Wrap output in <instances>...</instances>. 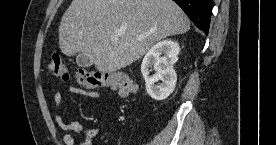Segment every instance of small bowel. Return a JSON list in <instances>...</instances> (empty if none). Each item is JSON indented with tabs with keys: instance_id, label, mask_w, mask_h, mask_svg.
Wrapping results in <instances>:
<instances>
[{
	"instance_id": "c3829d8e",
	"label": "small bowel",
	"mask_w": 276,
	"mask_h": 145,
	"mask_svg": "<svg viewBox=\"0 0 276 145\" xmlns=\"http://www.w3.org/2000/svg\"><path fill=\"white\" fill-rule=\"evenodd\" d=\"M69 92L78 94L84 97L101 99L102 95L97 91L85 90L77 87L70 86ZM63 101V95L61 92H55L53 95L54 109L53 116L56 125L64 132L63 142L66 145H75L73 134H78L84 131V142L82 145H93V140L100 135V129L92 127L83 130V126L80 122L72 119H68L61 108Z\"/></svg>"
}]
</instances>
